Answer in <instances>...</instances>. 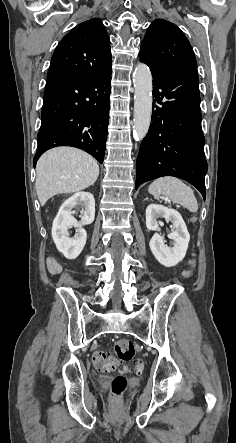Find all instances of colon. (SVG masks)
I'll use <instances>...</instances> for the list:
<instances>
[{
    "label": "colon",
    "mask_w": 236,
    "mask_h": 443,
    "mask_svg": "<svg viewBox=\"0 0 236 443\" xmlns=\"http://www.w3.org/2000/svg\"><path fill=\"white\" fill-rule=\"evenodd\" d=\"M194 259L192 265H194ZM183 277L188 278L192 275V270H185ZM135 345L129 339H118L113 346V353L107 355L102 351L95 352L92 356L94 367L99 371H124L128 370L127 363L132 361L135 356ZM135 370L141 373L144 370V364L140 361L136 363ZM127 387V380L123 376L113 379L110 388V398L114 403H118Z\"/></svg>",
    "instance_id": "colon-1"
}]
</instances>
